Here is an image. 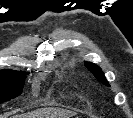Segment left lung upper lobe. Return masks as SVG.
Segmentation results:
<instances>
[{
    "instance_id": "obj_1",
    "label": "left lung upper lobe",
    "mask_w": 133,
    "mask_h": 118,
    "mask_svg": "<svg viewBox=\"0 0 133 118\" xmlns=\"http://www.w3.org/2000/svg\"><path fill=\"white\" fill-rule=\"evenodd\" d=\"M85 66L94 74L98 81L109 86L100 67L91 62H85Z\"/></svg>"
}]
</instances>
